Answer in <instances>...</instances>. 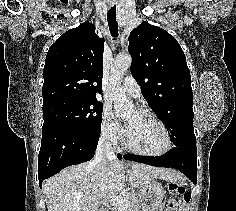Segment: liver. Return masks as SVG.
Wrapping results in <instances>:
<instances>
[{
	"label": "liver",
	"mask_w": 236,
	"mask_h": 211,
	"mask_svg": "<svg viewBox=\"0 0 236 211\" xmlns=\"http://www.w3.org/2000/svg\"><path fill=\"white\" fill-rule=\"evenodd\" d=\"M91 162L67 167L44 182L42 190L48 211H101L99 207L106 197L124 191L126 181L132 188H140L154 178L169 182L180 178L173 170L145 164L133 163L128 169L117 160L95 166Z\"/></svg>",
	"instance_id": "obj_1"
}]
</instances>
